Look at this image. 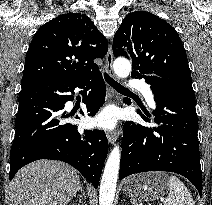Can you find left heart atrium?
<instances>
[{"label": "left heart atrium", "mask_w": 212, "mask_h": 205, "mask_svg": "<svg viewBox=\"0 0 212 205\" xmlns=\"http://www.w3.org/2000/svg\"><path fill=\"white\" fill-rule=\"evenodd\" d=\"M117 122V113L111 108L102 110L95 118L94 124L101 128L110 129Z\"/></svg>", "instance_id": "left-heart-atrium-1"}]
</instances>
